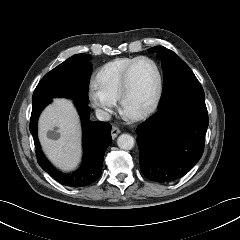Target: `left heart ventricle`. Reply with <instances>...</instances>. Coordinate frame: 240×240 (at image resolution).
Returning <instances> with one entry per match:
<instances>
[{
    "instance_id": "obj_1",
    "label": "left heart ventricle",
    "mask_w": 240,
    "mask_h": 240,
    "mask_svg": "<svg viewBox=\"0 0 240 240\" xmlns=\"http://www.w3.org/2000/svg\"><path fill=\"white\" fill-rule=\"evenodd\" d=\"M156 85L157 74L154 65L147 60L138 62L131 73L125 113L132 115L145 108L154 95Z\"/></svg>"
}]
</instances>
